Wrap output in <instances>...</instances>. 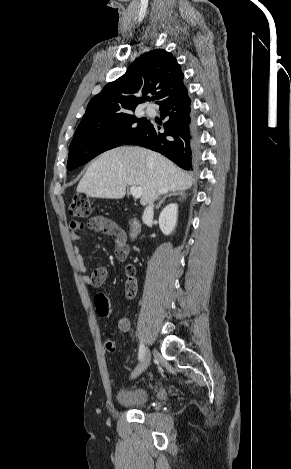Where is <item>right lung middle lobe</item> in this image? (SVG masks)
Instances as JSON below:
<instances>
[{"instance_id": "right-lung-middle-lobe-1", "label": "right lung middle lobe", "mask_w": 291, "mask_h": 469, "mask_svg": "<svg viewBox=\"0 0 291 469\" xmlns=\"http://www.w3.org/2000/svg\"><path fill=\"white\" fill-rule=\"evenodd\" d=\"M132 112L81 121L69 147L67 169H75L100 153L124 144L137 130L145 126Z\"/></svg>"}]
</instances>
